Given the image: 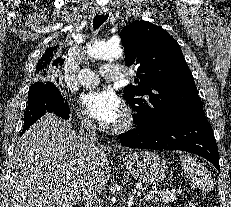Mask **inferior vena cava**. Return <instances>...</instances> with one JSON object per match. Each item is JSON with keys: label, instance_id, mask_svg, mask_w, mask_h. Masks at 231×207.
Wrapping results in <instances>:
<instances>
[{"label": "inferior vena cava", "instance_id": "inferior-vena-cava-1", "mask_svg": "<svg viewBox=\"0 0 231 207\" xmlns=\"http://www.w3.org/2000/svg\"><path fill=\"white\" fill-rule=\"evenodd\" d=\"M80 123V132L77 137L78 145L83 153L94 158L100 151V147L96 146V125L87 116L82 117ZM81 192L85 207H101L94 184L93 168L84 173L81 180Z\"/></svg>", "mask_w": 231, "mask_h": 207}]
</instances>
